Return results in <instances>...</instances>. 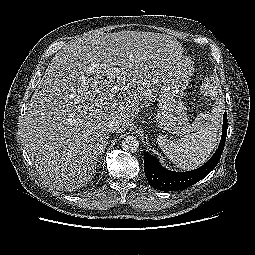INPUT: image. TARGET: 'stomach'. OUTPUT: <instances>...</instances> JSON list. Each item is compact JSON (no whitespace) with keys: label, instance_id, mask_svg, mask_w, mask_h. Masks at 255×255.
I'll return each instance as SVG.
<instances>
[{"label":"stomach","instance_id":"stomach-1","mask_svg":"<svg viewBox=\"0 0 255 255\" xmlns=\"http://www.w3.org/2000/svg\"><path fill=\"white\" fill-rule=\"evenodd\" d=\"M193 72L194 63L189 57L183 56L175 70L160 85L155 122L159 128L171 134L185 135L191 130L182 96Z\"/></svg>","mask_w":255,"mask_h":255}]
</instances>
